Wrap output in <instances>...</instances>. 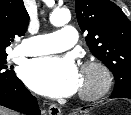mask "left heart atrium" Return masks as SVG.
I'll list each match as a JSON object with an SVG mask.
<instances>
[{
	"mask_svg": "<svg viewBox=\"0 0 131 115\" xmlns=\"http://www.w3.org/2000/svg\"><path fill=\"white\" fill-rule=\"evenodd\" d=\"M20 73L29 88L55 98L73 95L81 82L78 67L69 57L36 58L25 63Z\"/></svg>",
	"mask_w": 131,
	"mask_h": 115,
	"instance_id": "1",
	"label": "left heart atrium"
}]
</instances>
